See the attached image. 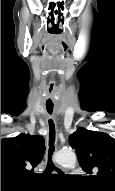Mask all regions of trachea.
<instances>
[{"instance_id":"1","label":"trachea","mask_w":115,"mask_h":191,"mask_svg":"<svg viewBox=\"0 0 115 191\" xmlns=\"http://www.w3.org/2000/svg\"><path fill=\"white\" fill-rule=\"evenodd\" d=\"M47 112L49 114H52L53 108H47ZM49 127H50V140H49V151H48V164L44 171L45 173H50L52 172L53 169H55V166L52 162V154L54 151V140H55V127L51 119L49 120ZM58 172H60V170H58Z\"/></svg>"}]
</instances>
